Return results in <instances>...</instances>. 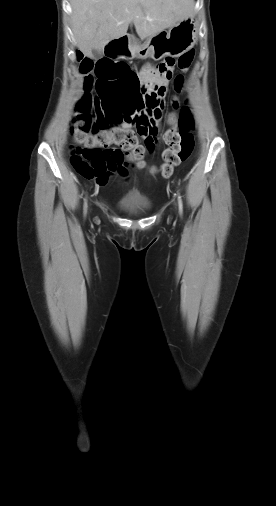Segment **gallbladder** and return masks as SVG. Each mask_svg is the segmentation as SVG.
Instances as JSON below:
<instances>
[{
    "instance_id": "obj_1",
    "label": "gallbladder",
    "mask_w": 276,
    "mask_h": 506,
    "mask_svg": "<svg viewBox=\"0 0 276 506\" xmlns=\"http://www.w3.org/2000/svg\"><path fill=\"white\" fill-rule=\"evenodd\" d=\"M92 53H93V56L95 58H101L102 57V52L101 51L93 50Z\"/></svg>"
}]
</instances>
